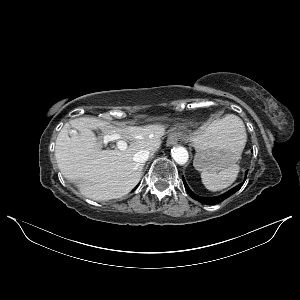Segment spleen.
<instances>
[{
  "label": "spleen",
  "instance_id": "obj_1",
  "mask_svg": "<svg viewBox=\"0 0 300 300\" xmlns=\"http://www.w3.org/2000/svg\"><path fill=\"white\" fill-rule=\"evenodd\" d=\"M232 121L237 133L242 137V144L245 146L247 135L243 121L235 115L229 114L224 117L221 122ZM240 167L237 164L229 166L227 169L219 173H211L204 171L201 173L202 182L210 191H219L230 186L237 178Z\"/></svg>",
  "mask_w": 300,
  "mask_h": 300
}]
</instances>
